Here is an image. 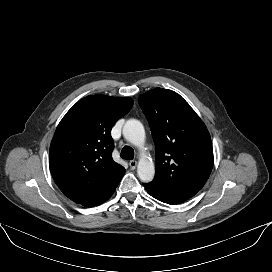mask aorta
<instances>
[{"label": "aorta", "mask_w": 272, "mask_h": 272, "mask_svg": "<svg viewBox=\"0 0 272 272\" xmlns=\"http://www.w3.org/2000/svg\"><path fill=\"white\" fill-rule=\"evenodd\" d=\"M123 135L133 145L142 148L145 142V130L143 124L136 120H128L123 127ZM137 173L141 181L150 182L155 175L153 161L146 156H142L137 167Z\"/></svg>", "instance_id": "obj_1"}]
</instances>
